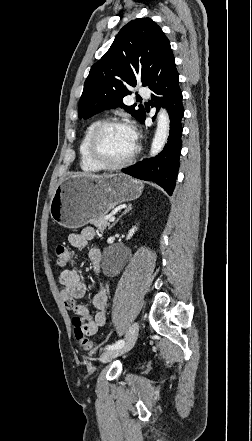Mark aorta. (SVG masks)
<instances>
[{
  "instance_id": "obj_1",
  "label": "aorta",
  "mask_w": 252,
  "mask_h": 441,
  "mask_svg": "<svg viewBox=\"0 0 252 441\" xmlns=\"http://www.w3.org/2000/svg\"><path fill=\"white\" fill-rule=\"evenodd\" d=\"M170 129V119L167 111L161 109L157 116V128L152 141L150 156H156L164 147Z\"/></svg>"
}]
</instances>
